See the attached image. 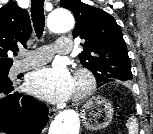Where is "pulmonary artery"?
I'll return each mask as SVG.
<instances>
[{
	"instance_id": "e3ab8cb5",
	"label": "pulmonary artery",
	"mask_w": 153,
	"mask_h": 134,
	"mask_svg": "<svg viewBox=\"0 0 153 134\" xmlns=\"http://www.w3.org/2000/svg\"><path fill=\"white\" fill-rule=\"evenodd\" d=\"M72 49V41L68 37H60L54 46L46 45L36 50L24 52V58L16 62L13 66L14 73H20L32 68H36L48 62L53 54H68Z\"/></svg>"
}]
</instances>
